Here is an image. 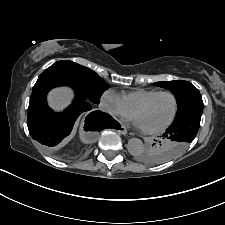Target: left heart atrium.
Returning a JSON list of instances; mask_svg holds the SVG:
<instances>
[{"label": "left heart atrium", "instance_id": "39dd6f15", "mask_svg": "<svg viewBox=\"0 0 225 225\" xmlns=\"http://www.w3.org/2000/svg\"><path fill=\"white\" fill-rule=\"evenodd\" d=\"M134 125H135L136 127L142 129V126H141L140 122H139L136 118L134 119Z\"/></svg>", "mask_w": 225, "mask_h": 225}]
</instances>
